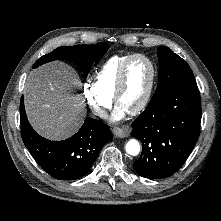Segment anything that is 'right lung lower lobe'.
Listing matches in <instances>:
<instances>
[{
  "instance_id": "right-lung-lower-lobe-1",
  "label": "right lung lower lobe",
  "mask_w": 221,
  "mask_h": 221,
  "mask_svg": "<svg viewBox=\"0 0 221 221\" xmlns=\"http://www.w3.org/2000/svg\"><path fill=\"white\" fill-rule=\"evenodd\" d=\"M21 136L36 162L53 178L80 179L86 175L103 145L112 140L108 125L87 118L72 137L63 141H50L38 135L31 127L20 101Z\"/></svg>"
}]
</instances>
